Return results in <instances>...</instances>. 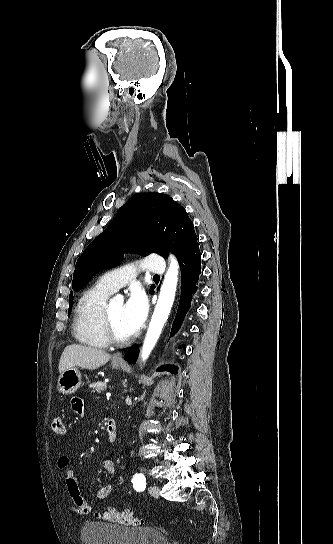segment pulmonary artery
<instances>
[{
	"label": "pulmonary artery",
	"mask_w": 333,
	"mask_h": 544,
	"mask_svg": "<svg viewBox=\"0 0 333 544\" xmlns=\"http://www.w3.org/2000/svg\"><path fill=\"white\" fill-rule=\"evenodd\" d=\"M141 270L154 274H163L165 263L159 256H149L143 260L106 272L99 278V283L114 292L132 281Z\"/></svg>",
	"instance_id": "e3ab8cb5"
}]
</instances>
